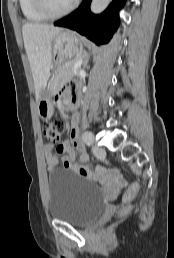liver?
I'll return each instance as SVG.
<instances>
[{"instance_id":"liver-1","label":"liver","mask_w":174,"mask_h":258,"mask_svg":"<svg viewBox=\"0 0 174 258\" xmlns=\"http://www.w3.org/2000/svg\"><path fill=\"white\" fill-rule=\"evenodd\" d=\"M61 31L59 27L38 23H26L22 27L24 47L30 63L37 98L50 77L51 44Z\"/></svg>"}]
</instances>
